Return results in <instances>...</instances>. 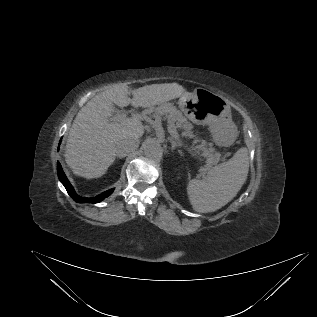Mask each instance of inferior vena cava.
Returning a JSON list of instances; mask_svg holds the SVG:
<instances>
[{
	"mask_svg": "<svg viewBox=\"0 0 317 317\" xmlns=\"http://www.w3.org/2000/svg\"><path fill=\"white\" fill-rule=\"evenodd\" d=\"M139 145L138 139L126 138L120 140L115 145V154L118 157H125L131 151H134Z\"/></svg>",
	"mask_w": 317,
	"mask_h": 317,
	"instance_id": "inferior-vena-cava-1",
	"label": "inferior vena cava"
}]
</instances>
